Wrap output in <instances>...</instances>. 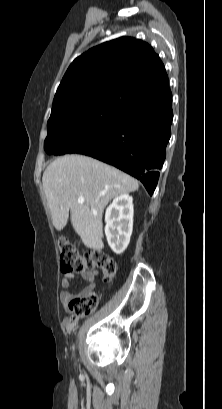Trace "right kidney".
<instances>
[{
    "mask_svg": "<svg viewBox=\"0 0 222 409\" xmlns=\"http://www.w3.org/2000/svg\"><path fill=\"white\" fill-rule=\"evenodd\" d=\"M133 198L128 194L117 196L105 213V234L110 248L121 254L127 248L133 229Z\"/></svg>",
    "mask_w": 222,
    "mask_h": 409,
    "instance_id": "right-kidney-1",
    "label": "right kidney"
}]
</instances>
